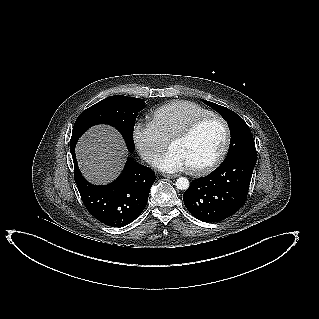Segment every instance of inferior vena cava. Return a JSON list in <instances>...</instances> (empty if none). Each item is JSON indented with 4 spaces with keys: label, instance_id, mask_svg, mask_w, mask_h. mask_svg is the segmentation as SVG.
I'll return each mask as SVG.
<instances>
[{
    "label": "inferior vena cava",
    "instance_id": "602c4592",
    "mask_svg": "<svg viewBox=\"0 0 319 319\" xmlns=\"http://www.w3.org/2000/svg\"><path fill=\"white\" fill-rule=\"evenodd\" d=\"M152 157L151 156H148L147 157V161H151Z\"/></svg>",
    "mask_w": 319,
    "mask_h": 319
}]
</instances>
